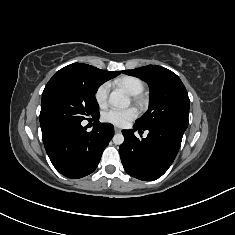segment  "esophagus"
Wrapping results in <instances>:
<instances>
[{
    "instance_id": "34e87169",
    "label": "esophagus",
    "mask_w": 235,
    "mask_h": 235,
    "mask_svg": "<svg viewBox=\"0 0 235 235\" xmlns=\"http://www.w3.org/2000/svg\"><path fill=\"white\" fill-rule=\"evenodd\" d=\"M114 131H115V133H120V132H121V129L118 128V127H115V128H114Z\"/></svg>"
}]
</instances>
